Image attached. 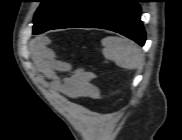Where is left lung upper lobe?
<instances>
[{
	"label": "left lung upper lobe",
	"mask_w": 182,
	"mask_h": 140,
	"mask_svg": "<svg viewBox=\"0 0 182 140\" xmlns=\"http://www.w3.org/2000/svg\"><path fill=\"white\" fill-rule=\"evenodd\" d=\"M105 0H41L34 15L33 34L68 28Z\"/></svg>",
	"instance_id": "1"
}]
</instances>
